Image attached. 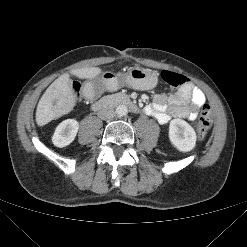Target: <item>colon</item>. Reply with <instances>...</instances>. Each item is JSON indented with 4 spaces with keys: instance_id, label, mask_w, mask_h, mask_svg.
Wrapping results in <instances>:
<instances>
[{
    "instance_id": "5ec220e1",
    "label": "colon",
    "mask_w": 247,
    "mask_h": 247,
    "mask_svg": "<svg viewBox=\"0 0 247 247\" xmlns=\"http://www.w3.org/2000/svg\"><path fill=\"white\" fill-rule=\"evenodd\" d=\"M162 80L172 88H177L189 84V79L178 74L176 72H171L168 70H163L161 72ZM73 91L78 95L81 91V85L78 82L73 83ZM212 126V111L209 105H204L201 111L200 119L197 126V136L199 139L205 137Z\"/></svg>"
}]
</instances>
